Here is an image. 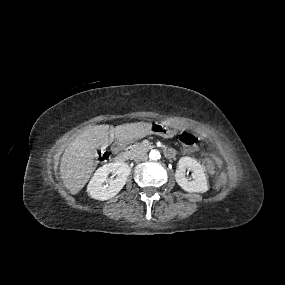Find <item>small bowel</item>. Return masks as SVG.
Instances as JSON below:
<instances>
[{"label":"small bowel","mask_w":285,"mask_h":285,"mask_svg":"<svg viewBox=\"0 0 285 285\" xmlns=\"http://www.w3.org/2000/svg\"><path fill=\"white\" fill-rule=\"evenodd\" d=\"M220 165L221 161L218 158H212L210 156L204 155L203 156V165L205 170L210 173L213 174L215 172V165Z\"/></svg>","instance_id":"small-bowel-1"}]
</instances>
